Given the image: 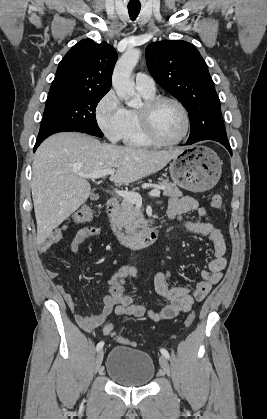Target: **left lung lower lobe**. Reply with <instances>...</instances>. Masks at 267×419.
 <instances>
[{
  "label": "left lung lower lobe",
  "mask_w": 267,
  "mask_h": 419,
  "mask_svg": "<svg viewBox=\"0 0 267 419\" xmlns=\"http://www.w3.org/2000/svg\"><path fill=\"white\" fill-rule=\"evenodd\" d=\"M202 140L217 141L224 145L232 155L231 147L227 140V136H223L221 138L215 137L213 131L206 123H203L202 125H197L195 130H191L189 138L187 140V144L191 145Z\"/></svg>",
  "instance_id": "1"
}]
</instances>
